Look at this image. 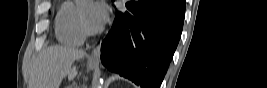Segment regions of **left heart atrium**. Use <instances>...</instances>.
Returning <instances> with one entry per match:
<instances>
[{
  "label": "left heart atrium",
  "mask_w": 267,
  "mask_h": 88,
  "mask_svg": "<svg viewBox=\"0 0 267 88\" xmlns=\"http://www.w3.org/2000/svg\"><path fill=\"white\" fill-rule=\"evenodd\" d=\"M108 16L107 7L103 2H97L92 5L90 20L95 26H101L105 23Z\"/></svg>",
  "instance_id": "1"
}]
</instances>
